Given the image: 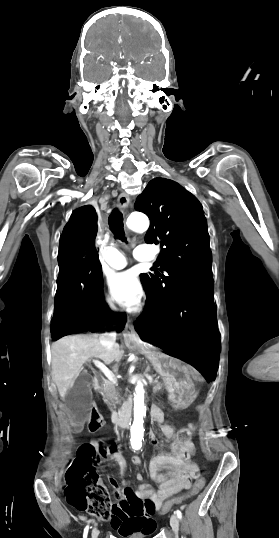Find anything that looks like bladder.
Returning <instances> with one entry per match:
<instances>
[{"mask_svg": "<svg viewBox=\"0 0 279 538\" xmlns=\"http://www.w3.org/2000/svg\"><path fill=\"white\" fill-rule=\"evenodd\" d=\"M128 538H146L144 532H130Z\"/></svg>", "mask_w": 279, "mask_h": 538, "instance_id": "obj_1", "label": "bladder"}]
</instances>
